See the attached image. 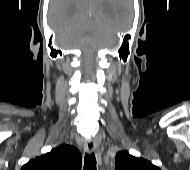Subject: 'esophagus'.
I'll return each mask as SVG.
<instances>
[{
    "label": "esophagus",
    "instance_id": "34e87169",
    "mask_svg": "<svg viewBox=\"0 0 190 170\" xmlns=\"http://www.w3.org/2000/svg\"><path fill=\"white\" fill-rule=\"evenodd\" d=\"M84 149L88 154H91L93 152L96 153V157L98 160V163L101 164V155L100 153L97 151V144L93 139H89L85 142L84 144Z\"/></svg>",
    "mask_w": 190,
    "mask_h": 170
}]
</instances>
